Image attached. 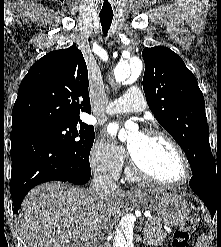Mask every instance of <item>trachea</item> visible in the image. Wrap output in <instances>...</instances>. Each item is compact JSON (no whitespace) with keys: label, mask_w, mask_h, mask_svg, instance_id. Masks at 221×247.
<instances>
[{"label":"trachea","mask_w":221,"mask_h":247,"mask_svg":"<svg viewBox=\"0 0 221 247\" xmlns=\"http://www.w3.org/2000/svg\"><path fill=\"white\" fill-rule=\"evenodd\" d=\"M100 22L102 26V30L105 36H107L108 30L110 29L113 15L112 14H100Z\"/></svg>","instance_id":"trachea-1"}]
</instances>
